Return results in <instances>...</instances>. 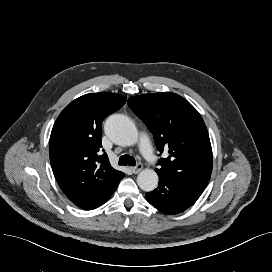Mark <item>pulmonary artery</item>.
Wrapping results in <instances>:
<instances>
[{
    "label": "pulmonary artery",
    "instance_id": "pulmonary-artery-1",
    "mask_svg": "<svg viewBox=\"0 0 272 272\" xmlns=\"http://www.w3.org/2000/svg\"><path fill=\"white\" fill-rule=\"evenodd\" d=\"M141 149L142 153L148 160L150 161L154 160V152L149 142V139L145 133L141 134Z\"/></svg>",
    "mask_w": 272,
    "mask_h": 272
}]
</instances>
